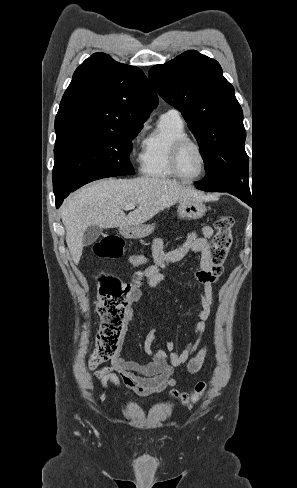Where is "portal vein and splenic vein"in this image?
Returning <instances> with one entry per match:
<instances>
[{"label": "portal vein and splenic vein", "mask_w": 297, "mask_h": 488, "mask_svg": "<svg viewBox=\"0 0 297 488\" xmlns=\"http://www.w3.org/2000/svg\"><path fill=\"white\" fill-rule=\"evenodd\" d=\"M135 207H136L135 204L130 203V204L125 205V210H131V209H134Z\"/></svg>", "instance_id": "obj_1"}]
</instances>
